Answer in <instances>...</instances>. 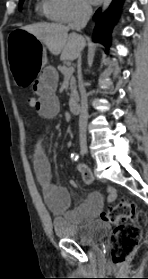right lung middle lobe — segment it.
<instances>
[{"instance_id":"1","label":"right lung middle lobe","mask_w":148,"mask_h":279,"mask_svg":"<svg viewBox=\"0 0 148 279\" xmlns=\"http://www.w3.org/2000/svg\"><path fill=\"white\" fill-rule=\"evenodd\" d=\"M23 1H24V0H20L19 7H21V5H22Z\"/></svg>"}]
</instances>
